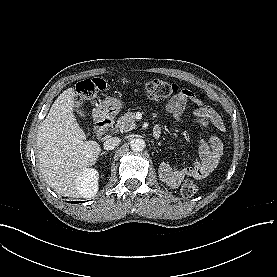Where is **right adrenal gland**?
I'll return each instance as SVG.
<instances>
[{
  "label": "right adrenal gland",
  "mask_w": 277,
  "mask_h": 277,
  "mask_svg": "<svg viewBox=\"0 0 277 277\" xmlns=\"http://www.w3.org/2000/svg\"><path fill=\"white\" fill-rule=\"evenodd\" d=\"M105 154H108V152L104 151L101 153V155H105Z\"/></svg>",
  "instance_id": "2a0ac1e0"
}]
</instances>
